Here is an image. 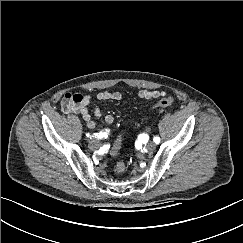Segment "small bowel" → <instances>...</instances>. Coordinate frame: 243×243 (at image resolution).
<instances>
[{"label": "small bowel", "mask_w": 243, "mask_h": 243, "mask_svg": "<svg viewBox=\"0 0 243 243\" xmlns=\"http://www.w3.org/2000/svg\"><path fill=\"white\" fill-rule=\"evenodd\" d=\"M164 93L162 91L159 90H147V89H143L140 90L137 94V96L141 99H145V100H150L153 98H159L161 96H163ZM97 99L100 101H117V100H121L122 99V95L120 92L117 91H103L98 93L97 95ZM91 101V97L89 95L84 96L83 102L80 104V106L74 111V112H78L82 115L83 119L85 120L87 126L90 129L95 128L96 123L95 121L92 120V117H100L102 115V111L99 107H95L93 110L89 109V104ZM104 120L107 124H112L114 122V117L111 114H107L104 117ZM100 135H102L103 137H107L108 132L102 131L99 133Z\"/></svg>", "instance_id": "1"}]
</instances>
